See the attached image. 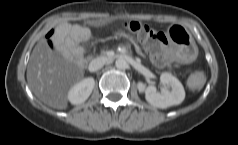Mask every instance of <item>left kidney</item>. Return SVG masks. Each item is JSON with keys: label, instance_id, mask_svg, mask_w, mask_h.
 Listing matches in <instances>:
<instances>
[{"label": "left kidney", "instance_id": "left-kidney-1", "mask_svg": "<svg viewBox=\"0 0 238 145\" xmlns=\"http://www.w3.org/2000/svg\"><path fill=\"white\" fill-rule=\"evenodd\" d=\"M160 82L163 87L160 92L154 86H146L142 82L137 83L139 92L145 93L148 103L158 108H167L182 103L185 98V90L181 82L169 73H162Z\"/></svg>", "mask_w": 238, "mask_h": 145}]
</instances>
